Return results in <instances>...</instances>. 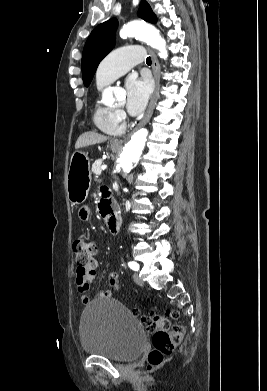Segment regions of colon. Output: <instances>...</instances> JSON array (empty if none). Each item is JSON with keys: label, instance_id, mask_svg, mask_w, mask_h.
I'll return each mask as SVG.
<instances>
[{"label": "colon", "instance_id": "colon-1", "mask_svg": "<svg viewBox=\"0 0 267 391\" xmlns=\"http://www.w3.org/2000/svg\"><path fill=\"white\" fill-rule=\"evenodd\" d=\"M73 251L77 270L86 272L94 262V257L98 253V244L94 240L85 238H77L73 242ZM111 285H116V275H111ZM139 314L138 310L133 312ZM171 318H177V311L171 310L168 312ZM146 329L151 334L152 348L148 354V362L150 366H155L164 361V359L173 352L176 346L180 343L184 328L175 326L171 328L170 321L166 316L155 313L145 314L141 317Z\"/></svg>", "mask_w": 267, "mask_h": 391}]
</instances>
